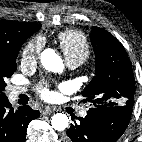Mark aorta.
Instances as JSON below:
<instances>
[{"label": "aorta", "mask_w": 142, "mask_h": 142, "mask_svg": "<svg viewBox=\"0 0 142 142\" xmlns=\"http://www.w3.org/2000/svg\"><path fill=\"white\" fill-rule=\"evenodd\" d=\"M42 66L52 72H61L64 68L61 57L53 48H46L40 56ZM52 127L57 131H63L68 127L69 119L65 114L56 113L51 118Z\"/></svg>", "instance_id": "aorta-1"}]
</instances>
